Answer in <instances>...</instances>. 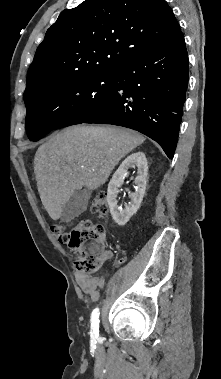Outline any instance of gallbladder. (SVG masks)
Masks as SVG:
<instances>
[{
    "mask_svg": "<svg viewBox=\"0 0 221 379\" xmlns=\"http://www.w3.org/2000/svg\"><path fill=\"white\" fill-rule=\"evenodd\" d=\"M90 194L88 188L74 191L69 200L62 207L61 220L63 222H69L82 214L86 209Z\"/></svg>",
    "mask_w": 221,
    "mask_h": 379,
    "instance_id": "gallbladder-1",
    "label": "gallbladder"
}]
</instances>
